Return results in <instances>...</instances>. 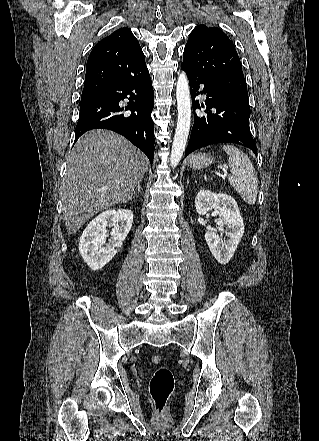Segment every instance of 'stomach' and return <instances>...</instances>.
I'll list each match as a JSON object with an SVG mask.
<instances>
[{"label": "stomach", "mask_w": 319, "mask_h": 441, "mask_svg": "<svg viewBox=\"0 0 319 441\" xmlns=\"http://www.w3.org/2000/svg\"><path fill=\"white\" fill-rule=\"evenodd\" d=\"M213 159L206 154L196 153L189 160V167L193 169H201L209 165Z\"/></svg>", "instance_id": "0dacf381"}]
</instances>
